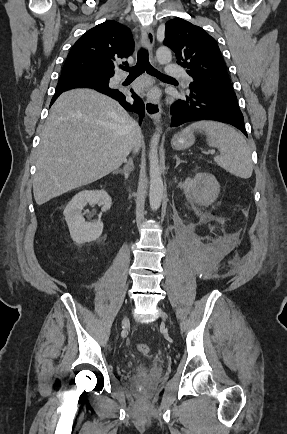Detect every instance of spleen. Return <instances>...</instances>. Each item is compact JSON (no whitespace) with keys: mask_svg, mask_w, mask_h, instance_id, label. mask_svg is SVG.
Returning a JSON list of instances; mask_svg holds the SVG:
<instances>
[{"mask_svg":"<svg viewBox=\"0 0 287 434\" xmlns=\"http://www.w3.org/2000/svg\"><path fill=\"white\" fill-rule=\"evenodd\" d=\"M197 130L206 135L209 146L216 147L220 155L214 161L236 177L248 179L253 172L251 152L242 134L233 127L216 121H198L189 125L184 132Z\"/></svg>","mask_w":287,"mask_h":434,"instance_id":"spleen-1","label":"spleen"}]
</instances>
